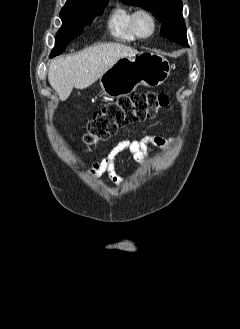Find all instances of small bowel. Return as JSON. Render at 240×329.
<instances>
[{
    "instance_id": "small-bowel-1",
    "label": "small bowel",
    "mask_w": 240,
    "mask_h": 329,
    "mask_svg": "<svg viewBox=\"0 0 240 329\" xmlns=\"http://www.w3.org/2000/svg\"><path fill=\"white\" fill-rule=\"evenodd\" d=\"M172 142L173 140L171 138L152 135L144 136L139 140H122L118 142L104 158L94 163L89 171V176L93 179H99L102 175H106L112 183L121 184L123 180L118 175L115 165L116 159L120 154L129 152L136 162L144 164L146 162L149 144L157 146L164 151H168Z\"/></svg>"
}]
</instances>
